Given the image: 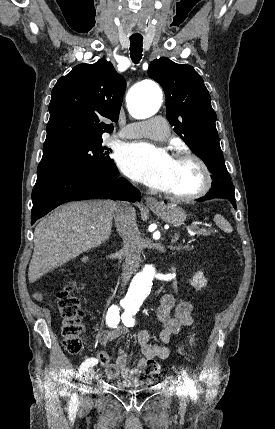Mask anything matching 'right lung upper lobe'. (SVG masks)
<instances>
[{"mask_svg": "<svg viewBox=\"0 0 275 429\" xmlns=\"http://www.w3.org/2000/svg\"><path fill=\"white\" fill-rule=\"evenodd\" d=\"M126 81L105 59L94 64H79L61 77L52 90L50 119L43 147L45 154L72 144L102 140L117 121Z\"/></svg>", "mask_w": 275, "mask_h": 429, "instance_id": "1", "label": "right lung upper lobe"}]
</instances>
